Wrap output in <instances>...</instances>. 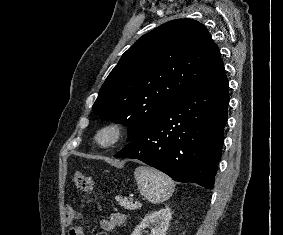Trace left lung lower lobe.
<instances>
[{"instance_id": "obj_1", "label": "left lung lower lobe", "mask_w": 283, "mask_h": 235, "mask_svg": "<svg viewBox=\"0 0 283 235\" xmlns=\"http://www.w3.org/2000/svg\"><path fill=\"white\" fill-rule=\"evenodd\" d=\"M224 66L188 90L114 157L132 158L178 182L211 189L229 104Z\"/></svg>"}]
</instances>
